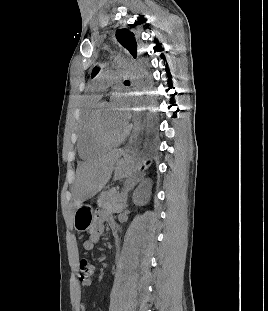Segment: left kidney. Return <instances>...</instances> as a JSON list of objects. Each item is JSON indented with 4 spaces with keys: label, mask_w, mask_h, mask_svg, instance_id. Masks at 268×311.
Here are the masks:
<instances>
[{
    "label": "left kidney",
    "mask_w": 268,
    "mask_h": 311,
    "mask_svg": "<svg viewBox=\"0 0 268 311\" xmlns=\"http://www.w3.org/2000/svg\"><path fill=\"white\" fill-rule=\"evenodd\" d=\"M136 195H140V199H135L134 203L137 205H145L149 198H150V194H151V183L149 180H144L139 187L137 188Z\"/></svg>",
    "instance_id": "left-kidney-1"
}]
</instances>
